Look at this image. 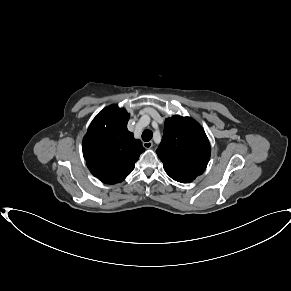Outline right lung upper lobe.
<instances>
[{
	"mask_svg": "<svg viewBox=\"0 0 291 291\" xmlns=\"http://www.w3.org/2000/svg\"><path fill=\"white\" fill-rule=\"evenodd\" d=\"M129 114L111 105L91 122L83 138V155L90 172L100 181L116 184L134 169L135 162L145 150L140 140L128 131Z\"/></svg>",
	"mask_w": 291,
	"mask_h": 291,
	"instance_id": "cb5924a9",
	"label": "right lung upper lobe"
}]
</instances>
